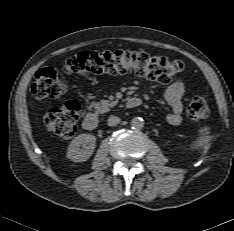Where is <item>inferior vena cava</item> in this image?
Segmentation results:
<instances>
[{
  "label": "inferior vena cava",
  "instance_id": "inferior-vena-cava-1",
  "mask_svg": "<svg viewBox=\"0 0 234 231\" xmlns=\"http://www.w3.org/2000/svg\"><path fill=\"white\" fill-rule=\"evenodd\" d=\"M120 122V118L117 116H110L108 119V125L109 126H116L117 124H119Z\"/></svg>",
  "mask_w": 234,
  "mask_h": 231
}]
</instances>
